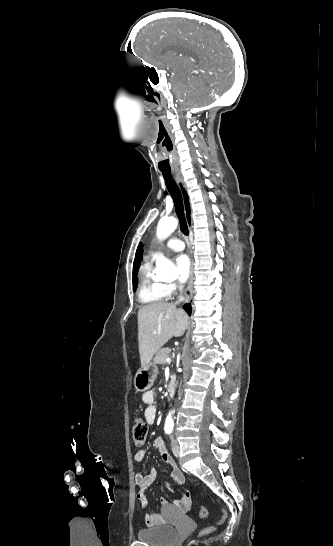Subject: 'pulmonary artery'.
I'll use <instances>...</instances> for the list:
<instances>
[{"label":"pulmonary artery","mask_w":333,"mask_h":546,"mask_svg":"<svg viewBox=\"0 0 333 546\" xmlns=\"http://www.w3.org/2000/svg\"><path fill=\"white\" fill-rule=\"evenodd\" d=\"M166 247L169 250L179 252V251H182L184 249V243H183L182 240H180L178 238H171L166 243Z\"/></svg>","instance_id":"1"}]
</instances>
